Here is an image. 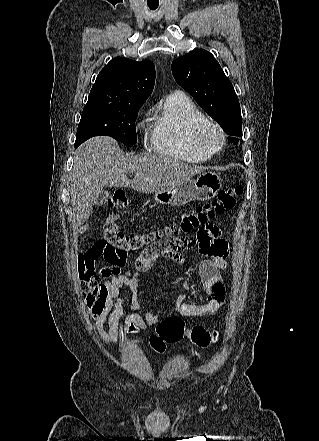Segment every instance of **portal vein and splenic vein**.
<instances>
[{
	"label": "portal vein and splenic vein",
	"mask_w": 319,
	"mask_h": 441,
	"mask_svg": "<svg viewBox=\"0 0 319 441\" xmlns=\"http://www.w3.org/2000/svg\"><path fill=\"white\" fill-rule=\"evenodd\" d=\"M136 175H137V176H139V175H140V173H139V172H137V173H136Z\"/></svg>",
	"instance_id": "obj_1"
}]
</instances>
